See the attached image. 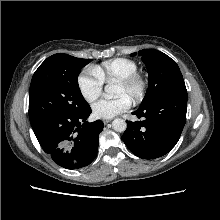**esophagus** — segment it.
I'll use <instances>...</instances> for the list:
<instances>
[{
	"mask_svg": "<svg viewBox=\"0 0 220 220\" xmlns=\"http://www.w3.org/2000/svg\"><path fill=\"white\" fill-rule=\"evenodd\" d=\"M109 122H111L110 119H104V120H103V123H104V124H108Z\"/></svg>",
	"mask_w": 220,
	"mask_h": 220,
	"instance_id": "34e87169",
	"label": "esophagus"
}]
</instances>
